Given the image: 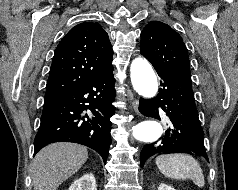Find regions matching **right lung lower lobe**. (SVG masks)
<instances>
[{
    "label": "right lung lower lobe",
    "instance_id": "98d812e1",
    "mask_svg": "<svg viewBox=\"0 0 238 190\" xmlns=\"http://www.w3.org/2000/svg\"><path fill=\"white\" fill-rule=\"evenodd\" d=\"M112 70L46 102L34 141V155L54 142H74L96 150L106 162L111 144L110 117L115 97ZM90 110V113L85 111Z\"/></svg>",
    "mask_w": 238,
    "mask_h": 190
}]
</instances>
